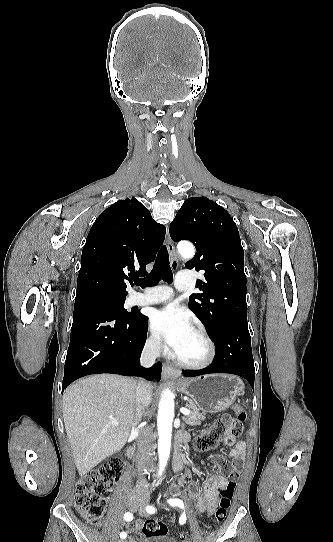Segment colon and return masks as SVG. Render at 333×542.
Here are the masks:
<instances>
[{"label":"colon","mask_w":333,"mask_h":542,"mask_svg":"<svg viewBox=\"0 0 333 542\" xmlns=\"http://www.w3.org/2000/svg\"><path fill=\"white\" fill-rule=\"evenodd\" d=\"M246 413L238 407L235 415L223 414L206 431L196 436L194 447L198 451H206L217 446L222 440L239 438L243 430V422ZM244 467L242 455H235L231 460H222L221 469L228 475L230 481L220 491L218 507L214 517L223 521L227 516V510L234 496L236 484ZM121 464L117 460H111L97 472L82 476L75 488L74 505L82 517L90 524L98 525L102 520L105 508V491L110 488L119 478ZM141 531L147 538L164 537L167 533L166 525L156 519H147L140 526Z\"/></svg>","instance_id":"colon-1"}]
</instances>
